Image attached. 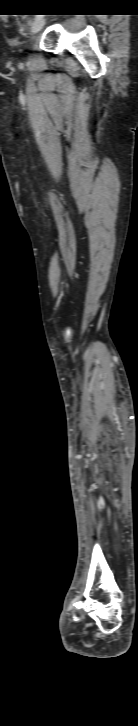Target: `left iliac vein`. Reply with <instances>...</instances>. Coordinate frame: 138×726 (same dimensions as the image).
<instances>
[{
    "label": "left iliac vein",
    "instance_id": "4c4485c4",
    "mask_svg": "<svg viewBox=\"0 0 138 726\" xmlns=\"http://www.w3.org/2000/svg\"><path fill=\"white\" fill-rule=\"evenodd\" d=\"M45 19L42 16H39L32 24L31 26V33L36 34L38 33L44 26Z\"/></svg>",
    "mask_w": 138,
    "mask_h": 726
}]
</instances>
